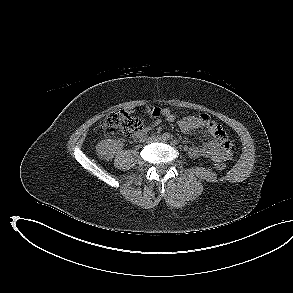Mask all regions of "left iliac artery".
<instances>
[{
	"label": "left iliac artery",
	"instance_id": "1",
	"mask_svg": "<svg viewBox=\"0 0 293 293\" xmlns=\"http://www.w3.org/2000/svg\"><path fill=\"white\" fill-rule=\"evenodd\" d=\"M172 144H174V145H175V144H177V143H176V141H175V140H172Z\"/></svg>",
	"mask_w": 293,
	"mask_h": 293
}]
</instances>
